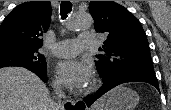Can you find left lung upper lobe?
<instances>
[{
    "label": "left lung upper lobe",
    "instance_id": "1",
    "mask_svg": "<svg viewBox=\"0 0 171 110\" xmlns=\"http://www.w3.org/2000/svg\"><path fill=\"white\" fill-rule=\"evenodd\" d=\"M97 32L106 33L96 55V68L105 79L125 70H154L146 34L136 17L113 1H90Z\"/></svg>",
    "mask_w": 171,
    "mask_h": 110
}]
</instances>
